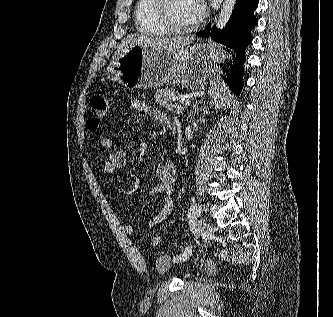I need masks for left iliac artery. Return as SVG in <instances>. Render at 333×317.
<instances>
[{"mask_svg": "<svg viewBox=\"0 0 333 317\" xmlns=\"http://www.w3.org/2000/svg\"><path fill=\"white\" fill-rule=\"evenodd\" d=\"M201 213V206L199 204H194L190 207L189 211H188V218L193 220L196 217H198ZM192 254V250L191 247H187L185 249V251L180 254L177 255L176 257H174V261H185L186 259H188Z\"/></svg>", "mask_w": 333, "mask_h": 317, "instance_id": "1", "label": "left iliac artery"}]
</instances>
